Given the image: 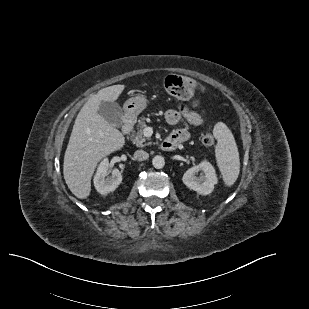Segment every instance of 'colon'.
I'll return each instance as SVG.
<instances>
[{"instance_id": "1", "label": "colon", "mask_w": 309, "mask_h": 309, "mask_svg": "<svg viewBox=\"0 0 309 309\" xmlns=\"http://www.w3.org/2000/svg\"><path fill=\"white\" fill-rule=\"evenodd\" d=\"M165 88L176 99L198 105L196 92L199 88L190 79L179 75H170L165 80ZM202 143L206 146L212 145L214 143L213 136L210 134L205 135L202 138Z\"/></svg>"}]
</instances>
